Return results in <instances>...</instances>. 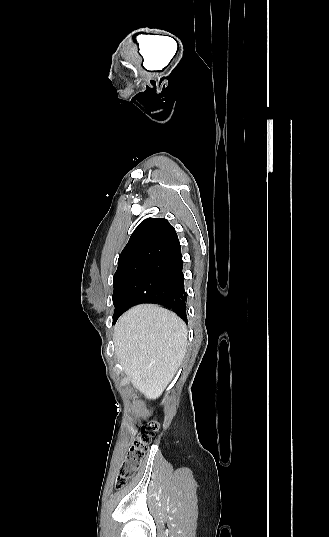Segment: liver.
Segmentation results:
<instances>
[{"label":"liver","instance_id":"1","mask_svg":"<svg viewBox=\"0 0 329 537\" xmlns=\"http://www.w3.org/2000/svg\"><path fill=\"white\" fill-rule=\"evenodd\" d=\"M115 355L132 385L156 399L180 367L187 346L185 323L156 305L126 311L114 328Z\"/></svg>","mask_w":329,"mask_h":537}]
</instances>
